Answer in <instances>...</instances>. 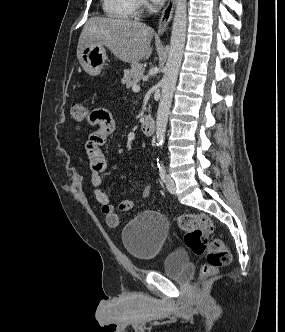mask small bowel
I'll use <instances>...</instances> for the list:
<instances>
[{"label": "small bowel", "mask_w": 285, "mask_h": 332, "mask_svg": "<svg viewBox=\"0 0 285 332\" xmlns=\"http://www.w3.org/2000/svg\"><path fill=\"white\" fill-rule=\"evenodd\" d=\"M85 126H96L86 143L87 154L91 167V184L94 188V196L101 206V211L105 215L106 222L110 227H118L121 224L120 212L131 210L136 201L123 200L118 205L110 202L107 193L103 190L102 174L106 170L107 161L103 150L108 136L115 129V120L106 106H93L92 111H87V115L82 116ZM150 187L146 186L139 201L146 199L149 195Z\"/></svg>", "instance_id": "c3829d8e"}]
</instances>
